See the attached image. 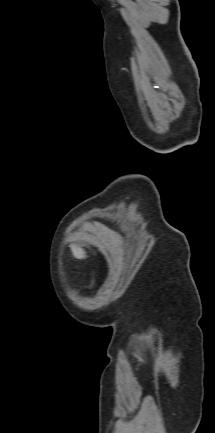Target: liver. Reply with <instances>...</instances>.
<instances>
[{
	"instance_id": "6515ba94",
	"label": "liver",
	"mask_w": 215,
	"mask_h": 433,
	"mask_svg": "<svg viewBox=\"0 0 215 433\" xmlns=\"http://www.w3.org/2000/svg\"><path fill=\"white\" fill-rule=\"evenodd\" d=\"M71 251L73 253V256L77 259H84L86 258V253L84 249L81 248L79 245H71L70 246Z\"/></svg>"
}]
</instances>
